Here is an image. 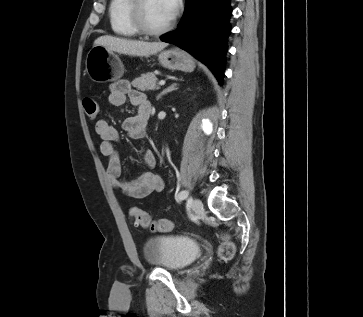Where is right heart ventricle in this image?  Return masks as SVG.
Here are the masks:
<instances>
[{
	"mask_svg": "<svg viewBox=\"0 0 363 317\" xmlns=\"http://www.w3.org/2000/svg\"><path fill=\"white\" fill-rule=\"evenodd\" d=\"M131 0H110L108 13L112 31L119 36L135 37L137 30L129 21V5Z\"/></svg>",
	"mask_w": 363,
	"mask_h": 317,
	"instance_id": "obj_1",
	"label": "right heart ventricle"
}]
</instances>
